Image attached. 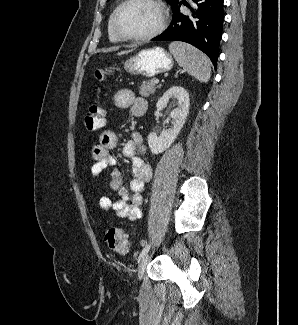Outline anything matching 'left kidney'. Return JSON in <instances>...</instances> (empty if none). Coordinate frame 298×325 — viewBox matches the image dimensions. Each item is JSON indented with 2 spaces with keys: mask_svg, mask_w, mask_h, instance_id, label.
<instances>
[{
  "mask_svg": "<svg viewBox=\"0 0 298 325\" xmlns=\"http://www.w3.org/2000/svg\"><path fill=\"white\" fill-rule=\"evenodd\" d=\"M170 98H175L177 104L176 108L170 110L169 116L172 118L171 128H163L160 136H157L156 132H150L148 134V144L153 154L164 152L166 148L171 146L176 136H178L186 120V116H188L190 96L189 92L183 86H170L168 90H165L164 94L156 102L157 110H163L167 106Z\"/></svg>",
  "mask_w": 298,
  "mask_h": 325,
  "instance_id": "1",
  "label": "left kidney"
}]
</instances>
